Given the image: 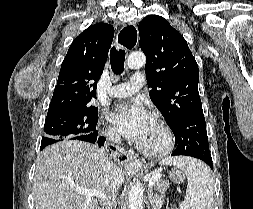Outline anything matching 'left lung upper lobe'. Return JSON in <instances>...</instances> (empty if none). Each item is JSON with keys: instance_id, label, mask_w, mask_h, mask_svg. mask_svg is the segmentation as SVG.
<instances>
[{"instance_id": "5c2ea615", "label": "left lung upper lobe", "mask_w": 253, "mask_h": 209, "mask_svg": "<svg viewBox=\"0 0 253 209\" xmlns=\"http://www.w3.org/2000/svg\"><path fill=\"white\" fill-rule=\"evenodd\" d=\"M146 55L150 98L174 133L177 155H209L205 118L198 92L199 69L186 40L161 16L138 25Z\"/></svg>"}]
</instances>
